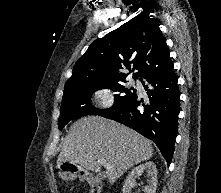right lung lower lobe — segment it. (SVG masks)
<instances>
[{"instance_id": "1", "label": "right lung lower lobe", "mask_w": 221, "mask_h": 193, "mask_svg": "<svg viewBox=\"0 0 221 193\" xmlns=\"http://www.w3.org/2000/svg\"><path fill=\"white\" fill-rule=\"evenodd\" d=\"M142 84L147 91L149 105L135 95L120 107L97 115L120 122L151 139L170 164L178 132L180 93L174 69L145 78ZM140 105L144 109L139 108Z\"/></svg>"}]
</instances>
